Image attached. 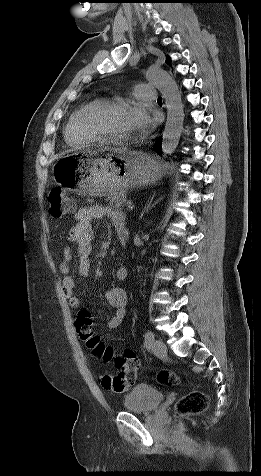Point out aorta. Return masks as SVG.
I'll use <instances>...</instances> for the list:
<instances>
[{"label":"aorta","instance_id":"aorta-1","mask_svg":"<svg viewBox=\"0 0 261 476\" xmlns=\"http://www.w3.org/2000/svg\"><path fill=\"white\" fill-rule=\"evenodd\" d=\"M146 78L162 93L165 99L167 120L163 132L161 149L164 156L171 155L178 146L183 130L184 110L181 93L177 83L164 70L151 68L146 73Z\"/></svg>","mask_w":261,"mask_h":476}]
</instances>
